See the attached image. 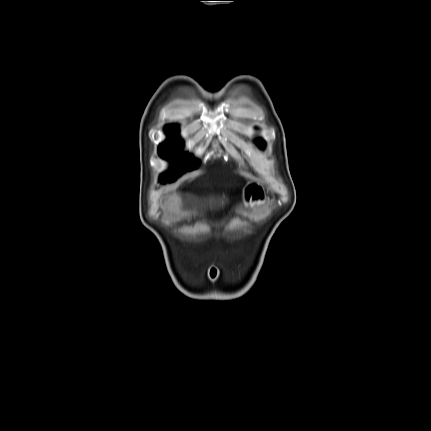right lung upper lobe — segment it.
<instances>
[{
	"label": "right lung upper lobe",
	"instance_id": "1",
	"mask_svg": "<svg viewBox=\"0 0 431 431\" xmlns=\"http://www.w3.org/2000/svg\"><path fill=\"white\" fill-rule=\"evenodd\" d=\"M168 130H176V128H175V127H173V126H170V127L168 128Z\"/></svg>",
	"mask_w": 431,
	"mask_h": 431
}]
</instances>
